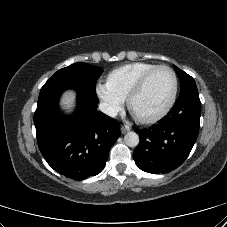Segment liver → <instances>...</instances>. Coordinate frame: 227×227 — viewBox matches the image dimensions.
Listing matches in <instances>:
<instances>
[{
  "mask_svg": "<svg viewBox=\"0 0 227 227\" xmlns=\"http://www.w3.org/2000/svg\"><path fill=\"white\" fill-rule=\"evenodd\" d=\"M76 93L72 90H68L63 93L60 105L63 109V113L66 115H70L74 112L76 107Z\"/></svg>",
  "mask_w": 227,
  "mask_h": 227,
  "instance_id": "liver-1",
  "label": "liver"
}]
</instances>
